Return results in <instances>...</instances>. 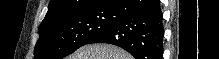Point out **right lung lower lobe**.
Wrapping results in <instances>:
<instances>
[{
  "mask_svg": "<svg viewBox=\"0 0 219 59\" xmlns=\"http://www.w3.org/2000/svg\"><path fill=\"white\" fill-rule=\"evenodd\" d=\"M113 10L114 23L88 44H113L135 59H161L164 29L160 1L119 0Z\"/></svg>",
  "mask_w": 219,
  "mask_h": 59,
  "instance_id": "98d812e1",
  "label": "right lung lower lobe"
}]
</instances>
